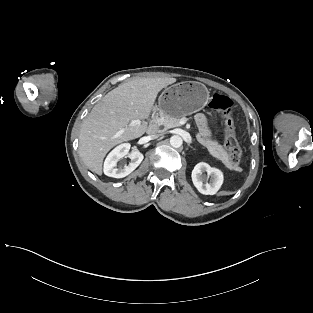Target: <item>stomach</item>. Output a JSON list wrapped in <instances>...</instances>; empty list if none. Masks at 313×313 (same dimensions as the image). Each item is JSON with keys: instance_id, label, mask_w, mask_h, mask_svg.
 Returning a JSON list of instances; mask_svg holds the SVG:
<instances>
[{"instance_id": "stomach-1", "label": "stomach", "mask_w": 313, "mask_h": 313, "mask_svg": "<svg viewBox=\"0 0 313 313\" xmlns=\"http://www.w3.org/2000/svg\"><path fill=\"white\" fill-rule=\"evenodd\" d=\"M209 100V91L199 82H180L165 88L159 97L162 113L182 117L201 110Z\"/></svg>"}]
</instances>
